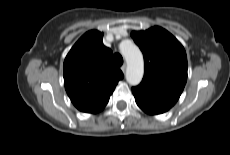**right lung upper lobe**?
I'll use <instances>...</instances> for the list:
<instances>
[{
  "label": "right lung upper lobe",
  "instance_id": "right-lung-upper-lobe-1",
  "mask_svg": "<svg viewBox=\"0 0 230 155\" xmlns=\"http://www.w3.org/2000/svg\"><path fill=\"white\" fill-rule=\"evenodd\" d=\"M103 33H85L67 54L64 85L74 106L86 113H97L107 105L117 83L124 75L113 65L111 49L102 42Z\"/></svg>",
  "mask_w": 230,
  "mask_h": 155
}]
</instances>
